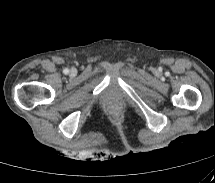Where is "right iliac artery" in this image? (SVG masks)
<instances>
[{
  "instance_id": "right-iliac-artery-1",
  "label": "right iliac artery",
  "mask_w": 215,
  "mask_h": 183,
  "mask_svg": "<svg viewBox=\"0 0 215 183\" xmlns=\"http://www.w3.org/2000/svg\"><path fill=\"white\" fill-rule=\"evenodd\" d=\"M68 72H69V70H68V69H65V70H64V73H65V74H67Z\"/></svg>"
}]
</instances>
